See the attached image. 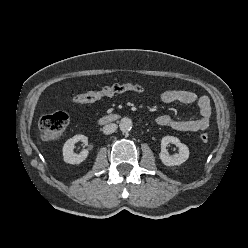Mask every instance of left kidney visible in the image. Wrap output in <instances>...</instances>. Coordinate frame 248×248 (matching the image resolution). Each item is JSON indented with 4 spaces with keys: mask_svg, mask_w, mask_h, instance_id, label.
I'll list each match as a JSON object with an SVG mask.
<instances>
[{
    "mask_svg": "<svg viewBox=\"0 0 248 248\" xmlns=\"http://www.w3.org/2000/svg\"><path fill=\"white\" fill-rule=\"evenodd\" d=\"M172 143L179 148V153L173 156L169 155L167 150V145ZM160 160L166 166H176L184 163L189 157L188 147L181 143L177 137L174 136H165L161 140V152L159 153Z\"/></svg>",
    "mask_w": 248,
    "mask_h": 248,
    "instance_id": "obj_1",
    "label": "left kidney"
}]
</instances>
